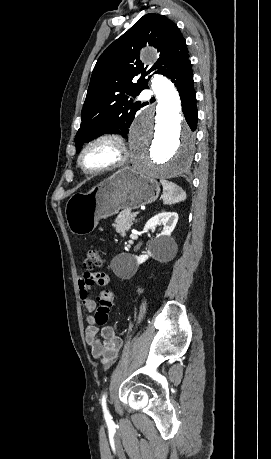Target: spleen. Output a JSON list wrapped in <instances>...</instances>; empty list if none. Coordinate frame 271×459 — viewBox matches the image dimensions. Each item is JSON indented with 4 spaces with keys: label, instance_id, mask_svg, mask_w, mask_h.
Returning <instances> with one entry per match:
<instances>
[{
    "label": "spleen",
    "instance_id": "3e777b00",
    "mask_svg": "<svg viewBox=\"0 0 271 459\" xmlns=\"http://www.w3.org/2000/svg\"><path fill=\"white\" fill-rule=\"evenodd\" d=\"M163 186V194L161 196L164 204H176V202H181L179 198H177V188L176 184H172V182H167V180H160Z\"/></svg>",
    "mask_w": 271,
    "mask_h": 459
}]
</instances>
